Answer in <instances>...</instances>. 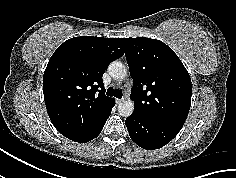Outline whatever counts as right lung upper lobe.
Returning a JSON list of instances; mask_svg holds the SVG:
<instances>
[{"label": "right lung upper lobe", "mask_w": 236, "mask_h": 178, "mask_svg": "<svg viewBox=\"0 0 236 178\" xmlns=\"http://www.w3.org/2000/svg\"><path fill=\"white\" fill-rule=\"evenodd\" d=\"M124 52L121 38L81 36L53 53L43 94L50 120L63 136L73 141L87 137L109 117L115 100L105 96L102 76Z\"/></svg>", "instance_id": "cb5924a9"}]
</instances>
